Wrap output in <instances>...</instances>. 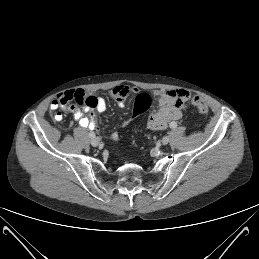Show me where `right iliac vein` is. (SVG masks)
Segmentation results:
<instances>
[{"label": "right iliac vein", "instance_id": "right-iliac-vein-1", "mask_svg": "<svg viewBox=\"0 0 259 259\" xmlns=\"http://www.w3.org/2000/svg\"><path fill=\"white\" fill-rule=\"evenodd\" d=\"M90 142H91V145H92V146L96 147V146L99 145L100 140H99L98 138L94 137V138L91 139Z\"/></svg>", "mask_w": 259, "mask_h": 259}]
</instances>
